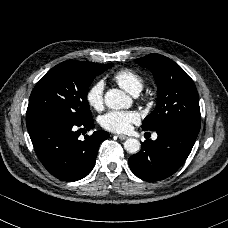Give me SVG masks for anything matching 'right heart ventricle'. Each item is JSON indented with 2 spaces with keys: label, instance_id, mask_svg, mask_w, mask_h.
I'll return each instance as SVG.
<instances>
[{
  "label": "right heart ventricle",
  "instance_id": "obj_1",
  "mask_svg": "<svg viewBox=\"0 0 228 228\" xmlns=\"http://www.w3.org/2000/svg\"><path fill=\"white\" fill-rule=\"evenodd\" d=\"M112 79L129 94L136 95L144 87L143 77L130 68H124L116 71Z\"/></svg>",
  "mask_w": 228,
  "mask_h": 228
}]
</instances>
